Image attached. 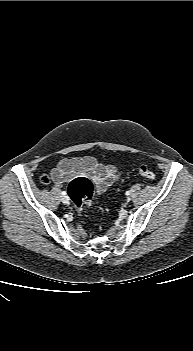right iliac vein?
Masks as SVG:
<instances>
[{
    "instance_id": "63e3f726",
    "label": "right iliac vein",
    "mask_w": 193,
    "mask_h": 351,
    "mask_svg": "<svg viewBox=\"0 0 193 351\" xmlns=\"http://www.w3.org/2000/svg\"><path fill=\"white\" fill-rule=\"evenodd\" d=\"M62 202H63L64 204H69V203H70L69 197H68V196H63V197H62Z\"/></svg>"
}]
</instances>
